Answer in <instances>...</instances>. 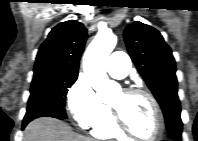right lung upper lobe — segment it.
I'll list each match as a JSON object with an SVG mask.
<instances>
[{"mask_svg": "<svg viewBox=\"0 0 198 141\" xmlns=\"http://www.w3.org/2000/svg\"><path fill=\"white\" fill-rule=\"evenodd\" d=\"M86 39L87 29L78 21L69 20L55 26L39 48L34 74H78Z\"/></svg>", "mask_w": 198, "mask_h": 141, "instance_id": "obj_1", "label": "right lung upper lobe"}]
</instances>
